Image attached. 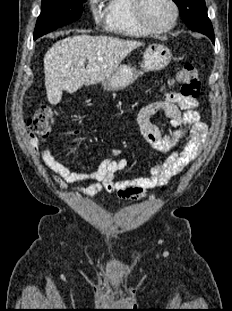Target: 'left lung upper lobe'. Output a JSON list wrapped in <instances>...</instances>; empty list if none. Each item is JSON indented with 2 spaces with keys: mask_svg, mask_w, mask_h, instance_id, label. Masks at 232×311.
<instances>
[{
  "mask_svg": "<svg viewBox=\"0 0 232 311\" xmlns=\"http://www.w3.org/2000/svg\"><path fill=\"white\" fill-rule=\"evenodd\" d=\"M180 9L182 20L191 30L204 27L210 21L205 0H173Z\"/></svg>",
  "mask_w": 232,
  "mask_h": 311,
  "instance_id": "obj_1",
  "label": "left lung upper lobe"
}]
</instances>
